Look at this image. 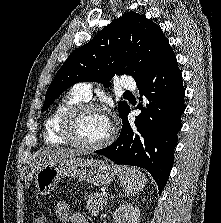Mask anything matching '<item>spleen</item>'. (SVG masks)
<instances>
[{
    "label": "spleen",
    "instance_id": "1",
    "mask_svg": "<svg viewBox=\"0 0 221 223\" xmlns=\"http://www.w3.org/2000/svg\"><path fill=\"white\" fill-rule=\"evenodd\" d=\"M115 170L121 179L125 191L134 194L141 191L146 184V176L134 167L121 166L115 167Z\"/></svg>",
    "mask_w": 221,
    "mask_h": 223
}]
</instances>
